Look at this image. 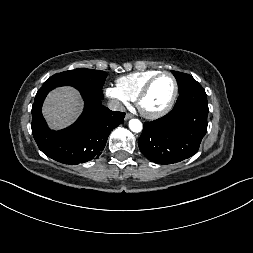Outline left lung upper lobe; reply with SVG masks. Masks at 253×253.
Wrapping results in <instances>:
<instances>
[{"label":"left lung upper lobe","instance_id":"5c2ea615","mask_svg":"<svg viewBox=\"0 0 253 253\" xmlns=\"http://www.w3.org/2000/svg\"><path fill=\"white\" fill-rule=\"evenodd\" d=\"M172 73L177 80L179 92L190 87L192 83L197 82L191 75L186 73L178 71H172Z\"/></svg>","mask_w":253,"mask_h":253}]
</instances>
